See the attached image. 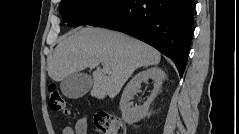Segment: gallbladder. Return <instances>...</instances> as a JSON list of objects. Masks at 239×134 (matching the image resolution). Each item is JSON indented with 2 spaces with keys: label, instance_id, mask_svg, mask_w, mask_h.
I'll return each instance as SVG.
<instances>
[{
  "label": "gallbladder",
  "instance_id": "1",
  "mask_svg": "<svg viewBox=\"0 0 239 134\" xmlns=\"http://www.w3.org/2000/svg\"><path fill=\"white\" fill-rule=\"evenodd\" d=\"M92 85L93 81L91 76L76 72L62 80L60 88L66 97L77 99L84 96L90 90Z\"/></svg>",
  "mask_w": 239,
  "mask_h": 134
}]
</instances>
